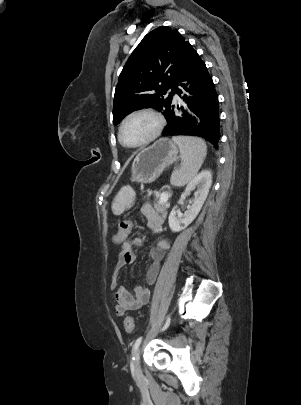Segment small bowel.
Listing matches in <instances>:
<instances>
[{
	"instance_id": "c3829d8e",
	"label": "small bowel",
	"mask_w": 301,
	"mask_h": 405,
	"mask_svg": "<svg viewBox=\"0 0 301 405\" xmlns=\"http://www.w3.org/2000/svg\"><path fill=\"white\" fill-rule=\"evenodd\" d=\"M141 213L146 217L147 227L152 232L156 234L163 232V216L151 204H143ZM143 244L144 240L141 237H135L132 240L126 239L118 252L116 267L110 283V289L116 302L115 311L118 316H123L127 312L141 308L150 299L148 287L135 286L132 294L126 288L118 286L117 282L119 270L124 265L135 262L137 258L135 248L141 247ZM168 249L169 242L166 239H160L156 246L150 249L151 264L146 273V281L149 285L155 282L161 268L164 253Z\"/></svg>"
}]
</instances>
